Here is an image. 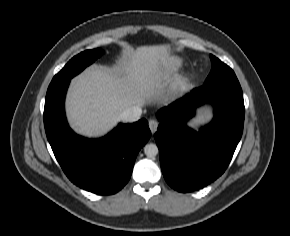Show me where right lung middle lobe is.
Here are the masks:
<instances>
[{
  "label": "right lung middle lobe",
  "mask_w": 290,
  "mask_h": 236,
  "mask_svg": "<svg viewBox=\"0 0 290 236\" xmlns=\"http://www.w3.org/2000/svg\"><path fill=\"white\" fill-rule=\"evenodd\" d=\"M102 54L103 51L101 49H93L76 55L54 76L52 81L71 79L80 73L85 67L93 63Z\"/></svg>",
  "instance_id": "obj_1"
}]
</instances>
